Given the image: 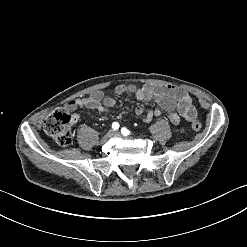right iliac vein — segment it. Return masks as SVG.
Masks as SVG:
<instances>
[{
	"label": "right iliac vein",
	"instance_id": "1",
	"mask_svg": "<svg viewBox=\"0 0 247 247\" xmlns=\"http://www.w3.org/2000/svg\"><path fill=\"white\" fill-rule=\"evenodd\" d=\"M113 136H115V131L114 130H109L104 137L101 139V143H104L106 141H108L110 138H112Z\"/></svg>",
	"mask_w": 247,
	"mask_h": 247
}]
</instances>
